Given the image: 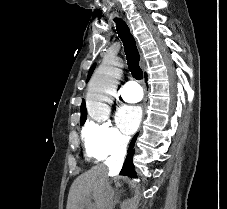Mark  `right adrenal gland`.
Wrapping results in <instances>:
<instances>
[{
  "instance_id": "1",
  "label": "right adrenal gland",
  "mask_w": 227,
  "mask_h": 209,
  "mask_svg": "<svg viewBox=\"0 0 227 209\" xmlns=\"http://www.w3.org/2000/svg\"><path fill=\"white\" fill-rule=\"evenodd\" d=\"M116 203H118L117 199H116V201H114V205H116Z\"/></svg>"
}]
</instances>
